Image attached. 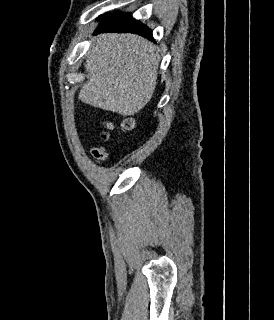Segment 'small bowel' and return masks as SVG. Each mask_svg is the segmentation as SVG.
<instances>
[{"label":"small bowel","mask_w":274,"mask_h":320,"mask_svg":"<svg viewBox=\"0 0 274 320\" xmlns=\"http://www.w3.org/2000/svg\"><path fill=\"white\" fill-rule=\"evenodd\" d=\"M90 153H94V159H100L101 163H112V156H108L106 152H103L102 146H90Z\"/></svg>","instance_id":"1"}]
</instances>
